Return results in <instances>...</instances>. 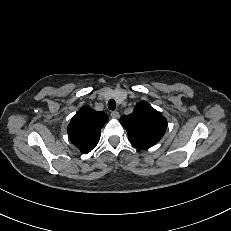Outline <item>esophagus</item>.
Wrapping results in <instances>:
<instances>
[{
  "instance_id": "1",
  "label": "esophagus",
  "mask_w": 231,
  "mask_h": 231,
  "mask_svg": "<svg viewBox=\"0 0 231 231\" xmlns=\"http://www.w3.org/2000/svg\"><path fill=\"white\" fill-rule=\"evenodd\" d=\"M111 117L115 118V119H118L120 117V114H119L118 111H112L111 112Z\"/></svg>"
}]
</instances>
